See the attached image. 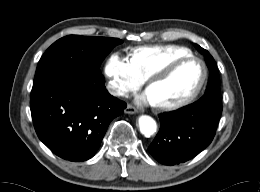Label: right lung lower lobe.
Returning <instances> with one entry per match:
<instances>
[{"label": "right lung lower lobe", "mask_w": 260, "mask_h": 192, "mask_svg": "<svg viewBox=\"0 0 260 192\" xmlns=\"http://www.w3.org/2000/svg\"><path fill=\"white\" fill-rule=\"evenodd\" d=\"M101 73L63 68L33 85L31 114L40 140L59 157L83 161L98 150L126 103L111 96Z\"/></svg>", "instance_id": "98d812e1"}]
</instances>
